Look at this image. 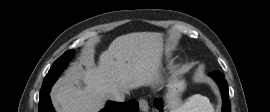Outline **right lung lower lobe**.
<instances>
[{
	"label": "right lung lower lobe",
	"mask_w": 270,
	"mask_h": 112,
	"mask_svg": "<svg viewBox=\"0 0 270 112\" xmlns=\"http://www.w3.org/2000/svg\"><path fill=\"white\" fill-rule=\"evenodd\" d=\"M54 82V80L44 79L40 91L38 112H55L49 95L50 89ZM138 109V102L131 99L124 103L108 102L107 106L100 112H138Z\"/></svg>",
	"instance_id": "right-lung-lower-lobe-1"
}]
</instances>
